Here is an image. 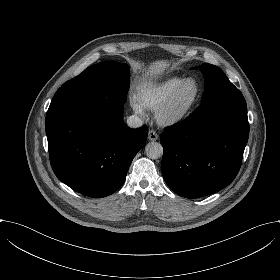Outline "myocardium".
<instances>
[{
	"mask_svg": "<svg viewBox=\"0 0 280 280\" xmlns=\"http://www.w3.org/2000/svg\"><path fill=\"white\" fill-rule=\"evenodd\" d=\"M189 80H195L197 82L198 95H197L195 101L190 106H188L184 109L178 110V109H176V100H177L179 94L181 93L184 85ZM203 91H204V88H203L202 83L199 81V79H197L196 77H193V76L184 78L182 80V82L180 83V85L178 86V88L171 95L169 101L158 110L157 117H158L159 122L166 127H173V126H176V125L182 123L184 120H186L191 115V113L199 105V103L202 99V96H203Z\"/></svg>",
	"mask_w": 280,
	"mask_h": 280,
	"instance_id": "obj_1",
	"label": "myocardium"
}]
</instances>
